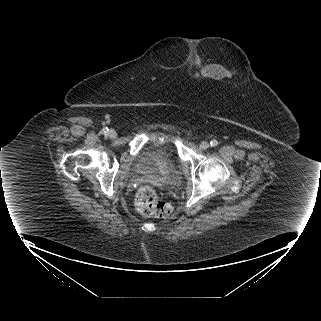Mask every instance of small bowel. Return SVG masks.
<instances>
[{
    "mask_svg": "<svg viewBox=\"0 0 321 321\" xmlns=\"http://www.w3.org/2000/svg\"><path fill=\"white\" fill-rule=\"evenodd\" d=\"M245 76L238 72L235 75L220 65L212 64L205 67L200 73L194 72L186 75L185 80L189 84L193 83H218L220 85H229L235 81L243 82Z\"/></svg>",
    "mask_w": 321,
    "mask_h": 321,
    "instance_id": "c3829d8e",
    "label": "small bowel"
}]
</instances>
